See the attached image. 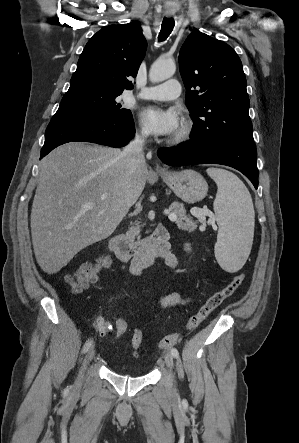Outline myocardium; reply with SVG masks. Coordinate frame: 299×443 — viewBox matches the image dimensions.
<instances>
[{
  "instance_id": "myocardium-1",
  "label": "myocardium",
  "mask_w": 299,
  "mask_h": 443,
  "mask_svg": "<svg viewBox=\"0 0 299 443\" xmlns=\"http://www.w3.org/2000/svg\"><path fill=\"white\" fill-rule=\"evenodd\" d=\"M195 132V125L191 120H185L178 133L173 137L171 143L173 144H183L189 141Z\"/></svg>"
}]
</instances>
